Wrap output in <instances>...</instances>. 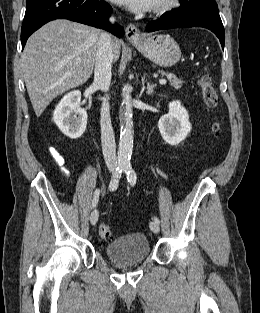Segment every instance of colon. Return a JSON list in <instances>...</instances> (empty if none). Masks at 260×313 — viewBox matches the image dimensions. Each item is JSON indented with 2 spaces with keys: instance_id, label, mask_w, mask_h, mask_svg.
I'll list each match as a JSON object with an SVG mask.
<instances>
[{
  "instance_id": "colon-1",
  "label": "colon",
  "mask_w": 260,
  "mask_h": 313,
  "mask_svg": "<svg viewBox=\"0 0 260 313\" xmlns=\"http://www.w3.org/2000/svg\"><path fill=\"white\" fill-rule=\"evenodd\" d=\"M198 84L201 88L203 100L207 107L211 110H216L219 104L218 94L212 84L210 76L206 72L200 75L198 79ZM213 130L216 134L219 133L220 124L218 122L213 125ZM99 236L102 239L109 240L113 238V232L108 225L101 224L99 226Z\"/></svg>"
}]
</instances>
